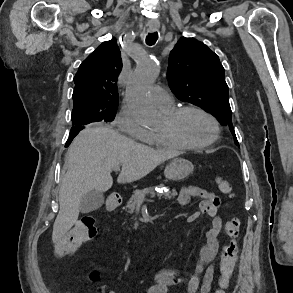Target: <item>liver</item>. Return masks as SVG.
Here are the masks:
<instances>
[{
	"instance_id": "liver-1",
	"label": "liver",
	"mask_w": 293,
	"mask_h": 293,
	"mask_svg": "<svg viewBox=\"0 0 293 293\" xmlns=\"http://www.w3.org/2000/svg\"><path fill=\"white\" fill-rule=\"evenodd\" d=\"M178 152L157 151L119 134L116 130L92 125L82 130L70 145L59 190V213L52 240L58 242L76 223L82 197L90 191L106 192L112 187V170L122 166L118 183L137 181Z\"/></svg>"
}]
</instances>
